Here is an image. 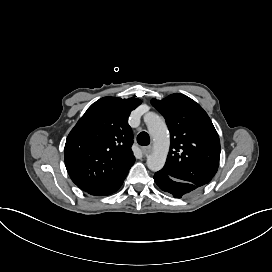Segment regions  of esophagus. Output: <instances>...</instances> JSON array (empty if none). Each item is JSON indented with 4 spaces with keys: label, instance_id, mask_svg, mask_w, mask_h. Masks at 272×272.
Instances as JSON below:
<instances>
[{
    "label": "esophagus",
    "instance_id": "esophagus-1",
    "mask_svg": "<svg viewBox=\"0 0 272 272\" xmlns=\"http://www.w3.org/2000/svg\"><path fill=\"white\" fill-rule=\"evenodd\" d=\"M141 150H142V152L144 154H150L152 152V147H150V146H144V147L141 148Z\"/></svg>",
    "mask_w": 272,
    "mask_h": 272
}]
</instances>
